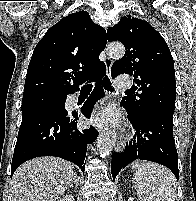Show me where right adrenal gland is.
<instances>
[{
	"mask_svg": "<svg viewBox=\"0 0 196 201\" xmlns=\"http://www.w3.org/2000/svg\"><path fill=\"white\" fill-rule=\"evenodd\" d=\"M76 185V186H79V182H78V177H77V175L75 174L74 175V180H73V182L69 185V187L70 188H73V185Z\"/></svg>",
	"mask_w": 196,
	"mask_h": 201,
	"instance_id": "obj_1",
	"label": "right adrenal gland"
}]
</instances>
